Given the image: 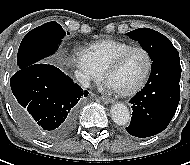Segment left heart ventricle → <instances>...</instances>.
Wrapping results in <instances>:
<instances>
[{"label": "left heart ventricle", "mask_w": 190, "mask_h": 165, "mask_svg": "<svg viewBox=\"0 0 190 165\" xmlns=\"http://www.w3.org/2000/svg\"><path fill=\"white\" fill-rule=\"evenodd\" d=\"M147 68V57L140 50L130 52L120 66L110 75L108 84L117 90H127L135 86Z\"/></svg>", "instance_id": "left-heart-ventricle-1"}]
</instances>
